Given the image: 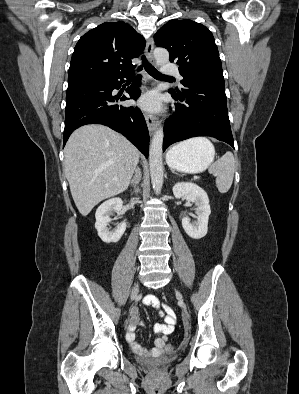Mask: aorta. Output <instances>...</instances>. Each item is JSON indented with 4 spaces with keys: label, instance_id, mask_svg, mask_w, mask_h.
<instances>
[{
    "label": "aorta",
    "instance_id": "obj_1",
    "mask_svg": "<svg viewBox=\"0 0 299 394\" xmlns=\"http://www.w3.org/2000/svg\"><path fill=\"white\" fill-rule=\"evenodd\" d=\"M154 57L158 66L164 65L169 61V53L164 48H156ZM164 132L163 128H158L152 138L149 150L150 174L153 189L159 194L163 185V163H162V147Z\"/></svg>",
    "mask_w": 299,
    "mask_h": 394
}]
</instances>
